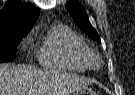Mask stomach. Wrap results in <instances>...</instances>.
Here are the masks:
<instances>
[{
  "instance_id": "1",
  "label": "stomach",
  "mask_w": 135,
  "mask_h": 95,
  "mask_svg": "<svg viewBox=\"0 0 135 95\" xmlns=\"http://www.w3.org/2000/svg\"><path fill=\"white\" fill-rule=\"evenodd\" d=\"M73 95H96V92L92 88L84 86L80 90L75 91Z\"/></svg>"
}]
</instances>
